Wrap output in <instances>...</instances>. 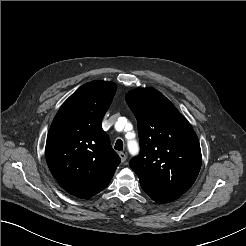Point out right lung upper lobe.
<instances>
[{
  "label": "right lung upper lobe",
  "mask_w": 246,
  "mask_h": 246,
  "mask_svg": "<svg viewBox=\"0 0 246 246\" xmlns=\"http://www.w3.org/2000/svg\"><path fill=\"white\" fill-rule=\"evenodd\" d=\"M112 82L96 80L77 89L56 114L46 142V160L58 183L87 199L109 184L120 158L101 121L116 92Z\"/></svg>",
  "instance_id": "right-lung-upper-lobe-1"
}]
</instances>
